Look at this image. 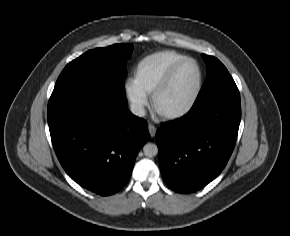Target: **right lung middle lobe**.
<instances>
[{
    "instance_id": "dd1d6c3e",
    "label": "right lung middle lobe",
    "mask_w": 290,
    "mask_h": 236,
    "mask_svg": "<svg viewBox=\"0 0 290 236\" xmlns=\"http://www.w3.org/2000/svg\"><path fill=\"white\" fill-rule=\"evenodd\" d=\"M132 50L131 44H116L87 51L64 68L51 97L124 95L125 62Z\"/></svg>"
}]
</instances>
